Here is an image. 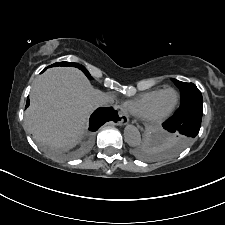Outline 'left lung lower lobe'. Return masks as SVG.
<instances>
[{
    "mask_svg": "<svg viewBox=\"0 0 225 225\" xmlns=\"http://www.w3.org/2000/svg\"><path fill=\"white\" fill-rule=\"evenodd\" d=\"M203 106H192L176 113L163 124V128L173 134L193 139L199 133Z\"/></svg>",
    "mask_w": 225,
    "mask_h": 225,
    "instance_id": "0a47b994",
    "label": "left lung lower lobe"
}]
</instances>
